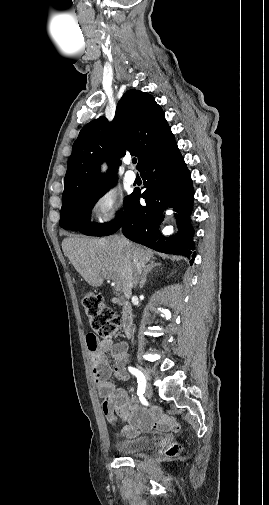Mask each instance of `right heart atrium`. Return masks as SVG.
Wrapping results in <instances>:
<instances>
[{"instance_id":"obj_1","label":"right heart atrium","mask_w":269,"mask_h":505,"mask_svg":"<svg viewBox=\"0 0 269 505\" xmlns=\"http://www.w3.org/2000/svg\"><path fill=\"white\" fill-rule=\"evenodd\" d=\"M122 211L123 204L118 192L113 188H105L91 202V221L99 227L107 226L116 220Z\"/></svg>"}]
</instances>
